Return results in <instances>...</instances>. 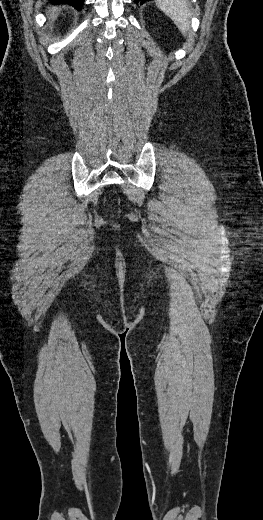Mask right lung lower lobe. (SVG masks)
<instances>
[{
  "instance_id": "98d812e1",
  "label": "right lung lower lobe",
  "mask_w": 263,
  "mask_h": 520,
  "mask_svg": "<svg viewBox=\"0 0 263 520\" xmlns=\"http://www.w3.org/2000/svg\"><path fill=\"white\" fill-rule=\"evenodd\" d=\"M54 4H70L74 6L77 10L82 8L84 0H51Z\"/></svg>"
}]
</instances>
